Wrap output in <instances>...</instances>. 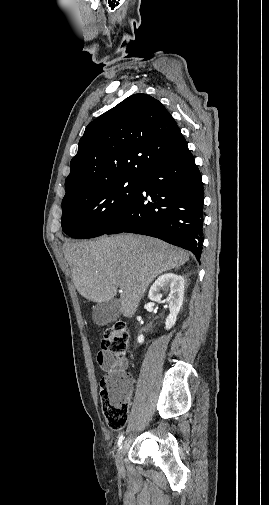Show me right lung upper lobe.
Listing matches in <instances>:
<instances>
[{"label":"right lung upper lobe","instance_id":"obj_1","mask_svg":"<svg viewBox=\"0 0 269 505\" xmlns=\"http://www.w3.org/2000/svg\"><path fill=\"white\" fill-rule=\"evenodd\" d=\"M186 146L161 102L143 93L131 95L86 127L70 163L63 201L97 185L139 179Z\"/></svg>","mask_w":269,"mask_h":505}]
</instances>
